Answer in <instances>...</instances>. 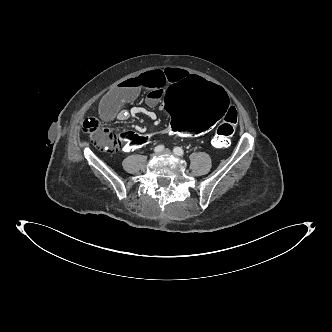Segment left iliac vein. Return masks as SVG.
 <instances>
[{"instance_id": "left-iliac-vein-1", "label": "left iliac vein", "mask_w": 332, "mask_h": 332, "mask_svg": "<svg viewBox=\"0 0 332 332\" xmlns=\"http://www.w3.org/2000/svg\"><path fill=\"white\" fill-rule=\"evenodd\" d=\"M162 153H165V154H171V150L166 148L162 151Z\"/></svg>"}]
</instances>
